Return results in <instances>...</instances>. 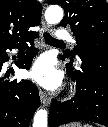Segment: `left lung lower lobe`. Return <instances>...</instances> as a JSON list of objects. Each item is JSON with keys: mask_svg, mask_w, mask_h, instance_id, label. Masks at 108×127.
<instances>
[{"mask_svg": "<svg viewBox=\"0 0 108 127\" xmlns=\"http://www.w3.org/2000/svg\"><path fill=\"white\" fill-rule=\"evenodd\" d=\"M79 57L82 70H75L71 64L66 66L68 75L76 81V96L66 102L52 101L49 127L78 120L108 127V48Z\"/></svg>", "mask_w": 108, "mask_h": 127, "instance_id": "left-lung-lower-lobe-1", "label": "left lung lower lobe"}]
</instances>
